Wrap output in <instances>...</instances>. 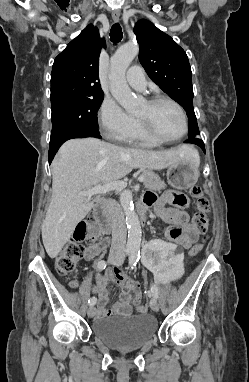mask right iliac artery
Instances as JSON below:
<instances>
[{
    "label": "right iliac artery",
    "mask_w": 249,
    "mask_h": 382,
    "mask_svg": "<svg viewBox=\"0 0 249 382\" xmlns=\"http://www.w3.org/2000/svg\"><path fill=\"white\" fill-rule=\"evenodd\" d=\"M129 254H130V251L127 250L126 251V255H129ZM97 267H98L99 270L105 269L106 268V262L104 260L98 261ZM88 303H89L90 306L95 305L96 304V298L95 297H91L88 300Z\"/></svg>",
    "instance_id": "1"
}]
</instances>
